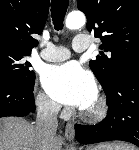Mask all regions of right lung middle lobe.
Returning a JSON list of instances; mask_svg holds the SVG:
<instances>
[{"instance_id": "obj_1", "label": "right lung middle lobe", "mask_w": 139, "mask_h": 150, "mask_svg": "<svg viewBox=\"0 0 139 150\" xmlns=\"http://www.w3.org/2000/svg\"><path fill=\"white\" fill-rule=\"evenodd\" d=\"M30 52H21L0 47V80H6L22 86H31L35 81V73L25 57Z\"/></svg>"}]
</instances>
